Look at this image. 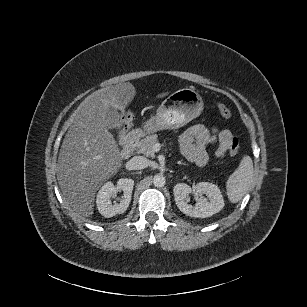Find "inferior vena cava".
I'll list each match as a JSON object with an SVG mask.
<instances>
[{
    "label": "inferior vena cava",
    "instance_id": "obj_1",
    "mask_svg": "<svg viewBox=\"0 0 307 307\" xmlns=\"http://www.w3.org/2000/svg\"><path fill=\"white\" fill-rule=\"evenodd\" d=\"M149 164V160L144 156H134L131 159V165L134 168L141 169Z\"/></svg>",
    "mask_w": 307,
    "mask_h": 307
}]
</instances>
